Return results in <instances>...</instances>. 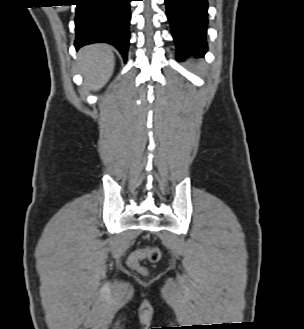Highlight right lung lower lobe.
<instances>
[{"label": "right lung lower lobe", "mask_w": 304, "mask_h": 329, "mask_svg": "<svg viewBox=\"0 0 304 329\" xmlns=\"http://www.w3.org/2000/svg\"><path fill=\"white\" fill-rule=\"evenodd\" d=\"M76 1V49L91 43L105 42L115 46L126 61L132 0Z\"/></svg>", "instance_id": "1"}]
</instances>
